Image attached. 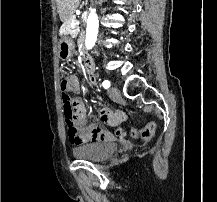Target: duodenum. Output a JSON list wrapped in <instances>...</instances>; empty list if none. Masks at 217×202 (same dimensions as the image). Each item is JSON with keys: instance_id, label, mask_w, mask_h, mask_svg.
Wrapping results in <instances>:
<instances>
[{"instance_id": "1", "label": "duodenum", "mask_w": 217, "mask_h": 202, "mask_svg": "<svg viewBox=\"0 0 217 202\" xmlns=\"http://www.w3.org/2000/svg\"><path fill=\"white\" fill-rule=\"evenodd\" d=\"M83 62L88 76L91 78L94 77L95 67H94L93 59L88 54H84Z\"/></svg>"}]
</instances>
